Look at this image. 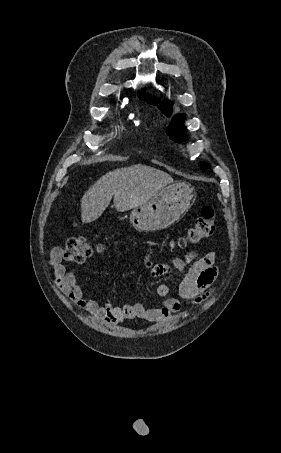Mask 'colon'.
<instances>
[{
	"label": "colon",
	"mask_w": 281,
	"mask_h": 453,
	"mask_svg": "<svg viewBox=\"0 0 281 453\" xmlns=\"http://www.w3.org/2000/svg\"><path fill=\"white\" fill-rule=\"evenodd\" d=\"M216 225L212 206L203 205L201 215L196 219L185 234V246H197L209 237ZM96 247L90 242L86 235L69 237L66 240L64 258L69 262H84L89 259Z\"/></svg>",
	"instance_id": "1"
}]
</instances>
